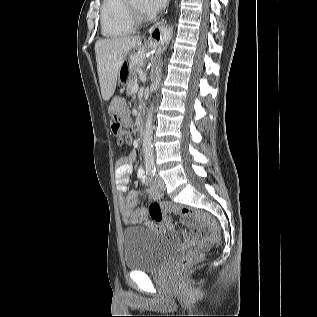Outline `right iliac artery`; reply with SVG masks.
Instances as JSON below:
<instances>
[{"label": "right iliac artery", "instance_id": "right-iliac-artery-1", "mask_svg": "<svg viewBox=\"0 0 317 317\" xmlns=\"http://www.w3.org/2000/svg\"><path fill=\"white\" fill-rule=\"evenodd\" d=\"M156 169L154 167L152 168H148L146 170V174H148L149 176L153 177L155 175Z\"/></svg>", "mask_w": 317, "mask_h": 317}]
</instances>
